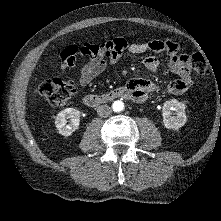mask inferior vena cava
<instances>
[{"label": "inferior vena cava", "mask_w": 221, "mask_h": 221, "mask_svg": "<svg viewBox=\"0 0 221 221\" xmlns=\"http://www.w3.org/2000/svg\"><path fill=\"white\" fill-rule=\"evenodd\" d=\"M112 113V109L108 105H100L97 109V114L100 117H108Z\"/></svg>", "instance_id": "602c4592"}]
</instances>
